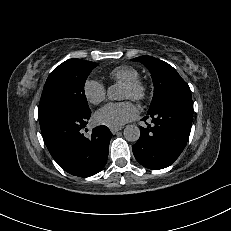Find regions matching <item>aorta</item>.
Returning <instances> with one entry per match:
<instances>
[{
  "instance_id": "762f6f07",
  "label": "aorta",
  "mask_w": 231,
  "mask_h": 231,
  "mask_svg": "<svg viewBox=\"0 0 231 231\" xmlns=\"http://www.w3.org/2000/svg\"><path fill=\"white\" fill-rule=\"evenodd\" d=\"M107 96L111 100L121 99V90L117 85H112L107 90ZM127 141L136 142L140 137V129L136 125H127L123 131Z\"/></svg>"
}]
</instances>
